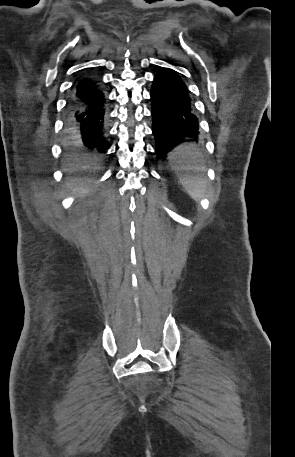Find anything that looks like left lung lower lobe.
<instances>
[{"label":"left lung lower lobe","mask_w":295,"mask_h":457,"mask_svg":"<svg viewBox=\"0 0 295 457\" xmlns=\"http://www.w3.org/2000/svg\"><path fill=\"white\" fill-rule=\"evenodd\" d=\"M152 131L158 158L184 142L198 138V118L194 114L188 89L176 71L161 68L151 89Z\"/></svg>","instance_id":"left-lung-lower-lobe-1"}]
</instances>
